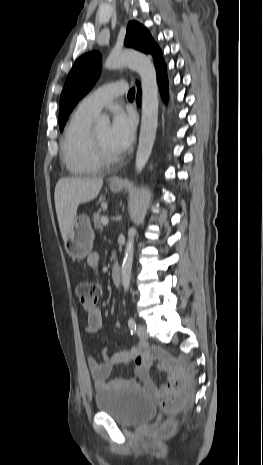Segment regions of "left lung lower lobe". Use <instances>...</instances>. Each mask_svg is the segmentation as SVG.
Here are the masks:
<instances>
[{
	"label": "left lung lower lobe",
	"mask_w": 263,
	"mask_h": 465,
	"mask_svg": "<svg viewBox=\"0 0 263 465\" xmlns=\"http://www.w3.org/2000/svg\"><path fill=\"white\" fill-rule=\"evenodd\" d=\"M154 63L157 69V78L158 83L161 88V93L164 99H167V75H166V64L163 60L162 52L158 47L152 52ZM141 89L140 84L138 83V93H137V104H140Z\"/></svg>",
	"instance_id": "0a47b994"
}]
</instances>
